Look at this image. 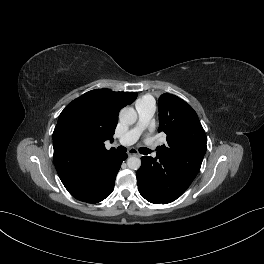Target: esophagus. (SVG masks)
<instances>
[{
  "instance_id": "esophagus-1",
  "label": "esophagus",
  "mask_w": 264,
  "mask_h": 264,
  "mask_svg": "<svg viewBox=\"0 0 264 264\" xmlns=\"http://www.w3.org/2000/svg\"><path fill=\"white\" fill-rule=\"evenodd\" d=\"M127 154L128 156H140L136 149H129Z\"/></svg>"
}]
</instances>
